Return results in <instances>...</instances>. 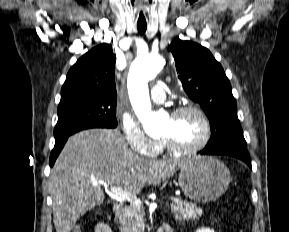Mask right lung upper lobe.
<instances>
[{
	"label": "right lung upper lobe",
	"instance_id": "cb5924a9",
	"mask_svg": "<svg viewBox=\"0 0 289 232\" xmlns=\"http://www.w3.org/2000/svg\"><path fill=\"white\" fill-rule=\"evenodd\" d=\"M115 61L110 44L103 43L88 51L69 70L61 89L60 104L93 96L117 100Z\"/></svg>",
	"mask_w": 289,
	"mask_h": 232
}]
</instances>
